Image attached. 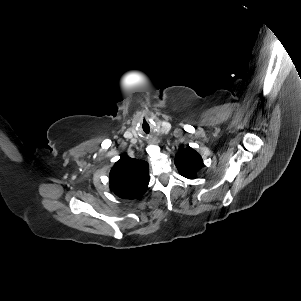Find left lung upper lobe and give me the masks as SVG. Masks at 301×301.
<instances>
[{
    "mask_svg": "<svg viewBox=\"0 0 301 301\" xmlns=\"http://www.w3.org/2000/svg\"><path fill=\"white\" fill-rule=\"evenodd\" d=\"M174 161L179 173L188 179H195L203 165L201 156L189 146L179 151Z\"/></svg>",
    "mask_w": 301,
    "mask_h": 301,
    "instance_id": "obj_1",
    "label": "left lung upper lobe"
}]
</instances>
